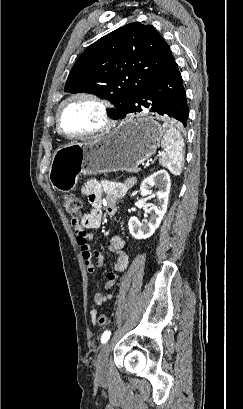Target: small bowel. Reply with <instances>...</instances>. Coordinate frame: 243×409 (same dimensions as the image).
Listing matches in <instances>:
<instances>
[{
  "label": "small bowel",
  "instance_id": "c3829d8e",
  "mask_svg": "<svg viewBox=\"0 0 243 409\" xmlns=\"http://www.w3.org/2000/svg\"><path fill=\"white\" fill-rule=\"evenodd\" d=\"M136 183L134 178H128L124 182H98L96 180L88 181L83 187V193L88 197L91 209L85 212L80 220H72L75 228L81 226L83 229H98L101 226L102 206L105 205L108 215L113 218L117 214V201L125 196ZM106 195L103 198V195ZM77 243L80 247L82 257L84 259L87 271L94 274L99 268L103 266V257L100 252L93 251L89 245V241L94 238L92 232H86L80 235L76 232ZM109 249L116 254L114 263V272L107 274V282L104 284V290H111L118 280V273L126 270L129 259L124 251V241L122 238L114 236L108 243ZM96 257V262L93 261ZM112 295L106 292H97L92 300L91 314L95 316L96 307L101 306L107 301L111 300Z\"/></svg>",
  "mask_w": 243,
  "mask_h": 409
}]
</instances>
